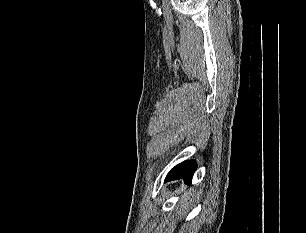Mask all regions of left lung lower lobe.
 Here are the masks:
<instances>
[{"label":"left lung lower lobe","mask_w":306,"mask_h":233,"mask_svg":"<svg viewBox=\"0 0 306 233\" xmlns=\"http://www.w3.org/2000/svg\"><path fill=\"white\" fill-rule=\"evenodd\" d=\"M196 167L197 165L194 161L182 162L170 170L165 178V182L183 178L185 183L191 184Z\"/></svg>","instance_id":"obj_1"}]
</instances>
